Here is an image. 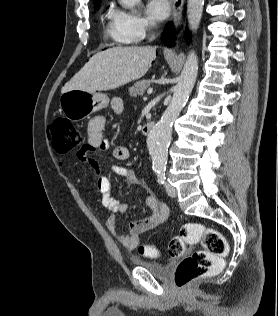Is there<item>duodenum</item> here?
Returning <instances> with one entry per match:
<instances>
[{"label": "duodenum", "instance_id": "410a0bca", "mask_svg": "<svg viewBox=\"0 0 278 316\" xmlns=\"http://www.w3.org/2000/svg\"><path fill=\"white\" fill-rule=\"evenodd\" d=\"M154 126H155V122L154 121H149V122L145 123L143 125V127H142V133L144 135H148L152 131Z\"/></svg>", "mask_w": 278, "mask_h": 316}]
</instances>
